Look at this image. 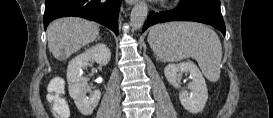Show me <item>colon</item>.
<instances>
[{"label":"colon","mask_w":273,"mask_h":118,"mask_svg":"<svg viewBox=\"0 0 273 118\" xmlns=\"http://www.w3.org/2000/svg\"><path fill=\"white\" fill-rule=\"evenodd\" d=\"M62 88L59 82H53L50 85V94L48 96V103L52 111L61 118L69 116V107L66 100L61 94Z\"/></svg>","instance_id":"colon-1"}]
</instances>
